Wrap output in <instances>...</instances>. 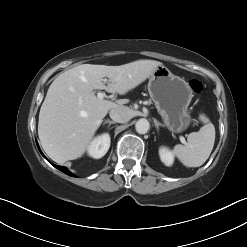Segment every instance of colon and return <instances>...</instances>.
Instances as JSON below:
<instances>
[{
  "label": "colon",
  "mask_w": 247,
  "mask_h": 247,
  "mask_svg": "<svg viewBox=\"0 0 247 247\" xmlns=\"http://www.w3.org/2000/svg\"><path fill=\"white\" fill-rule=\"evenodd\" d=\"M190 87L195 93H200L202 91V84L198 80H192L190 82Z\"/></svg>",
  "instance_id": "1"
}]
</instances>
